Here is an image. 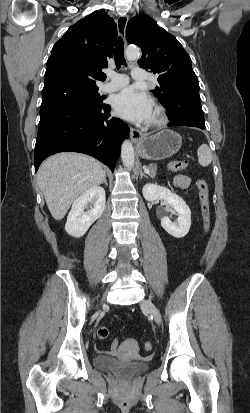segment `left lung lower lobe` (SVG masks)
Listing matches in <instances>:
<instances>
[{
    "instance_id": "0a47b994",
    "label": "left lung lower lobe",
    "mask_w": 250,
    "mask_h": 413,
    "mask_svg": "<svg viewBox=\"0 0 250 413\" xmlns=\"http://www.w3.org/2000/svg\"><path fill=\"white\" fill-rule=\"evenodd\" d=\"M199 94L189 97H176L166 106L170 122L168 126H191L205 129L204 114L201 108Z\"/></svg>"
}]
</instances>
